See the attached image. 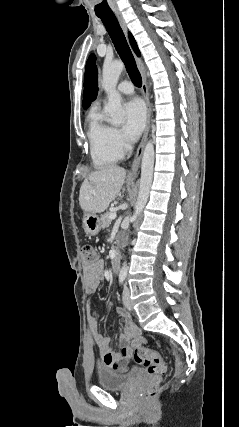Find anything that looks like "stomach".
Returning a JSON list of instances; mask_svg holds the SVG:
<instances>
[{
	"instance_id": "stomach-1",
	"label": "stomach",
	"mask_w": 239,
	"mask_h": 427,
	"mask_svg": "<svg viewBox=\"0 0 239 427\" xmlns=\"http://www.w3.org/2000/svg\"><path fill=\"white\" fill-rule=\"evenodd\" d=\"M83 227L87 234L97 235L102 228V220L96 213L86 212L83 217Z\"/></svg>"
}]
</instances>
